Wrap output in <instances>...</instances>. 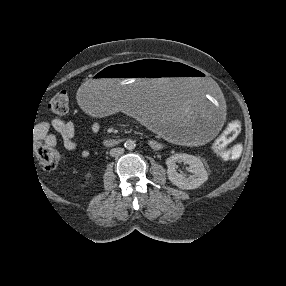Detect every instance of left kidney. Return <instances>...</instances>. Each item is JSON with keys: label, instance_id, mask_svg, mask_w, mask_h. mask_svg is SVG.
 I'll use <instances>...</instances> for the list:
<instances>
[{"label": "left kidney", "instance_id": "obj_1", "mask_svg": "<svg viewBox=\"0 0 286 286\" xmlns=\"http://www.w3.org/2000/svg\"><path fill=\"white\" fill-rule=\"evenodd\" d=\"M187 164L188 171L191 173L188 177L177 172V164ZM167 174L169 180L180 189H196L208 179V173L197 156L186 153L174 154L166 160Z\"/></svg>", "mask_w": 286, "mask_h": 286}]
</instances>
